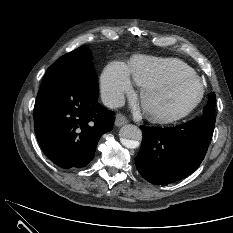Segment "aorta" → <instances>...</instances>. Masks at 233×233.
Returning a JSON list of instances; mask_svg holds the SVG:
<instances>
[{"instance_id": "1", "label": "aorta", "mask_w": 233, "mask_h": 233, "mask_svg": "<svg viewBox=\"0 0 233 233\" xmlns=\"http://www.w3.org/2000/svg\"><path fill=\"white\" fill-rule=\"evenodd\" d=\"M121 143L130 149L137 148L139 142L142 140V131L135 125L127 124L124 125L120 130Z\"/></svg>"}]
</instances>
